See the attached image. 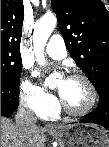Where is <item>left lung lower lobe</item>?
<instances>
[{"label": "left lung lower lobe", "instance_id": "obj_1", "mask_svg": "<svg viewBox=\"0 0 109 147\" xmlns=\"http://www.w3.org/2000/svg\"><path fill=\"white\" fill-rule=\"evenodd\" d=\"M98 95L99 104L97 108L79 122L99 124L109 130V88L103 89Z\"/></svg>", "mask_w": 109, "mask_h": 147}]
</instances>
